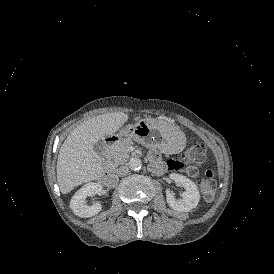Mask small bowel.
<instances>
[{
  "instance_id": "obj_1",
  "label": "small bowel",
  "mask_w": 274,
  "mask_h": 274,
  "mask_svg": "<svg viewBox=\"0 0 274 274\" xmlns=\"http://www.w3.org/2000/svg\"><path fill=\"white\" fill-rule=\"evenodd\" d=\"M149 161L153 171L155 173H159L157 170V165L161 162V159L156 151H151L149 153Z\"/></svg>"
}]
</instances>
